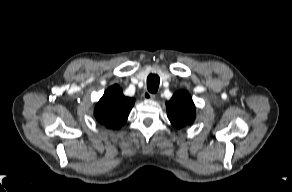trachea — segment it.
I'll use <instances>...</instances> for the list:
<instances>
[{
	"instance_id": "trachea-1",
	"label": "trachea",
	"mask_w": 292,
	"mask_h": 192,
	"mask_svg": "<svg viewBox=\"0 0 292 192\" xmlns=\"http://www.w3.org/2000/svg\"><path fill=\"white\" fill-rule=\"evenodd\" d=\"M160 84V78L156 74H150L147 78V89L151 93H156Z\"/></svg>"
}]
</instances>
